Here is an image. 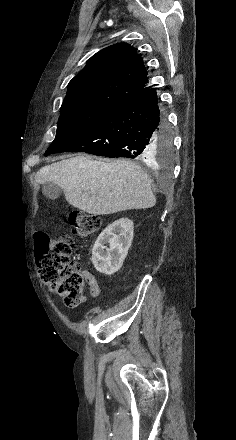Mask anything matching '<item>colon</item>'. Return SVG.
Returning <instances> with one entry per match:
<instances>
[{
  "label": "colon",
  "mask_w": 236,
  "mask_h": 440,
  "mask_svg": "<svg viewBox=\"0 0 236 440\" xmlns=\"http://www.w3.org/2000/svg\"><path fill=\"white\" fill-rule=\"evenodd\" d=\"M72 235L87 238L100 228V219L82 211L73 210L67 215ZM72 235L52 240L44 232H36L34 241L38 269L43 283L61 297L65 306L74 308L85 301V276L79 266L70 262L75 246Z\"/></svg>",
  "instance_id": "colon-1"
}]
</instances>
